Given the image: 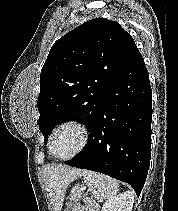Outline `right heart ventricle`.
Returning a JSON list of instances; mask_svg holds the SVG:
<instances>
[{
	"label": "right heart ventricle",
	"mask_w": 178,
	"mask_h": 211,
	"mask_svg": "<svg viewBox=\"0 0 178 211\" xmlns=\"http://www.w3.org/2000/svg\"><path fill=\"white\" fill-rule=\"evenodd\" d=\"M51 138H52V137H51ZM50 143H51V139H50V141H49L48 147H49L50 154L52 155V153H51Z\"/></svg>",
	"instance_id": "e07e8e85"
}]
</instances>
